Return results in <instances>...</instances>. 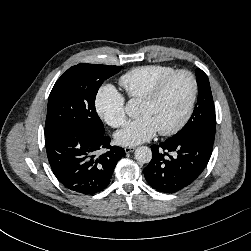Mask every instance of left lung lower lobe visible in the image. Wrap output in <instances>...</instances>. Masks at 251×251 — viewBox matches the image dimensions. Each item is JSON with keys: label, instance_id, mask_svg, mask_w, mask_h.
<instances>
[{"label": "left lung lower lobe", "instance_id": "left-lung-lower-lobe-1", "mask_svg": "<svg viewBox=\"0 0 251 251\" xmlns=\"http://www.w3.org/2000/svg\"><path fill=\"white\" fill-rule=\"evenodd\" d=\"M214 139L191 134L152 145V159L144 169L149 185L159 192L175 193L191 185L205 169Z\"/></svg>", "mask_w": 251, "mask_h": 251}]
</instances>
